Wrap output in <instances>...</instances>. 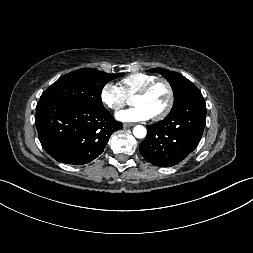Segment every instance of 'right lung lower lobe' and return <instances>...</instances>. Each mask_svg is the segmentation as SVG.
<instances>
[{"label": "right lung lower lobe", "instance_id": "right-lung-lower-lobe-1", "mask_svg": "<svg viewBox=\"0 0 253 253\" xmlns=\"http://www.w3.org/2000/svg\"><path fill=\"white\" fill-rule=\"evenodd\" d=\"M35 125L44 150L55 160L83 165L97 158L111 134L122 128L107 109L40 100Z\"/></svg>", "mask_w": 253, "mask_h": 253}]
</instances>
